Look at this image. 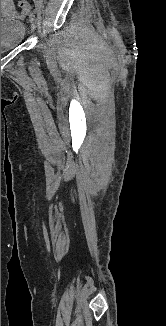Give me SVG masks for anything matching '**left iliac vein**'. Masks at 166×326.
<instances>
[{
  "label": "left iliac vein",
  "mask_w": 166,
  "mask_h": 326,
  "mask_svg": "<svg viewBox=\"0 0 166 326\" xmlns=\"http://www.w3.org/2000/svg\"><path fill=\"white\" fill-rule=\"evenodd\" d=\"M29 22L31 24V27L33 29H35L36 28V23H37V18H36L35 14L33 12L29 13Z\"/></svg>",
  "instance_id": "1"
}]
</instances>
